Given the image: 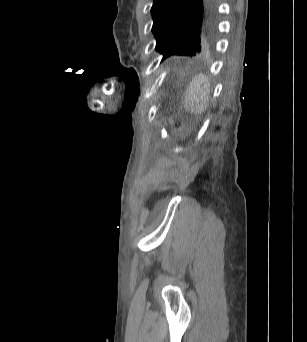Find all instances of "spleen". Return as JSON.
Here are the masks:
<instances>
[{
    "instance_id": "3e777b00",
    "label": "spleen",
    "mask_w": 307,
    "mask_h": 342,
    "mask_svg": "<svg viewBox=\"0 0 307 342\" xmlns=\"http://www.w3.org/2000/svg\"><path fill=\"white\" fill-rule=\"evenodd\" d=\"M210 82L204 74H196L192 78L189 88L185 94V110L189 114H202L203 110L208 109L206 103L209 98Z\"/></svg>"
}]
</instances>
